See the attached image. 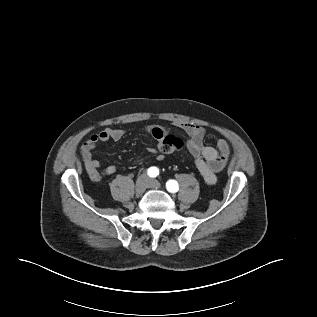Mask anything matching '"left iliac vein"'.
<instances>
[{"label": "left iliac vein", "instance_id": "4c4485c4", "mask_svg": "<svg viewBox=\"0 0 317 317\" xmlns=\"http://www.w3.org/2000/svg\"><path fill=\"white\" fill-rule=\"evenodd\" d=\"M148 187L152 189H160L161 184L155 179H149Z\"/></svg>", "mask_w": 317, "mask_h": 317}]
</instances>
